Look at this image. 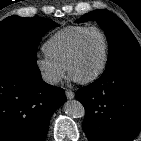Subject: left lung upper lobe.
Segmentation results:
<instances>
[{
	"instance_id": "obj_1",
	"label": "left lung upper lobe",
	"mask_w": 141,
	"mask_h": 141,
	"mask_svg": "<svg viewBox=\"0 0 141 141\" xmlns=\"http://www.w3.org/2000/svg\"><path fill=\"white\" fill-rule=\"evenodd\" d=\"M95 20L105 31L109 44V59L103 74L128 65L141 64V48L124 22L108 10H95L82 16L77 23Z\"/></svg>"
}]
</instances>
